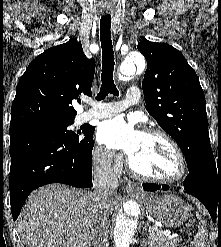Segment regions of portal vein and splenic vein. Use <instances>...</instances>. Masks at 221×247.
Returning a JSON list of instances; mask_svg holds the SVG:
<instances>
[{"instance_id": "18ae733b", "label": "portal vein and splenic vein", "mask_w": 221, "mask_h": 247, "mask_svg": "<svg viewBox=\"0 0 221 247\" xmlns=\"http://www.w3.org/2000/svg\"><path fill=\"white\" fill-rule=\"evenodd\" d=\"M158 230H159L160 233H162L163 235L167 236L168 238H174L175 237V235H171V233L169 231H163L161 229H158Z\"/></svg>"}]
</instances>
